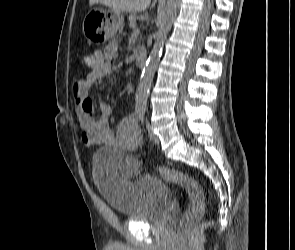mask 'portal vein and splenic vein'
Wrapping results in <instances>:
<instances>
[{"mask_svg": "<svg viewBox=\"0 0 295 250\" xmlns=\"http://www.w3.org/2000/svg\"><path fill=\"white\" fill-rule=\"evenodd\" d=\"M132 26L135 27L136 26V23H133Z\"/></svg>", "mask_w": 295, "mask_h": 250, "instance_id": "portal-vein-and-splenic-vein-1", "label": "portal vein and splenic vein"}]
</instances>
